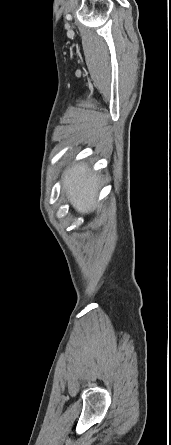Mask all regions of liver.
<instances>
[{
	"label": "liver",
	"instance_id": "obj_1",
	"mask_svg": "<svg viewBox=\"0 0 171 445\" xmlns=\"http://www.w3.org/2000/svg\"><path fill=\"white\" fill-rule=\"evenodd\" d=\"M98 182V177L90 174L84 163L74 165L65 171L63 188L78 212L85 213L91 208L97 195Z\"/></svg>",
	"mask_w": 171,
	"mask_h": 445
}]
</instances>
